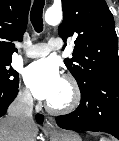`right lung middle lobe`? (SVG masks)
<instances>
[{
    "instance_id": "1",
    "label": "right lung middle lobe",
    "mask_w": 119,
    "mask_h": 141,
    "mask_svg": "<svg viewBox=\"0 0 119 141\" xmlns=\"http://www.w3.org/2000/svg\"><path fill=\"white\" fill-rule=\"evenodd\" d=\"M11 62L12 58L0 59V89L9 90L19 82V73L10 66Z\"/></svg>"
}]
</instances>
